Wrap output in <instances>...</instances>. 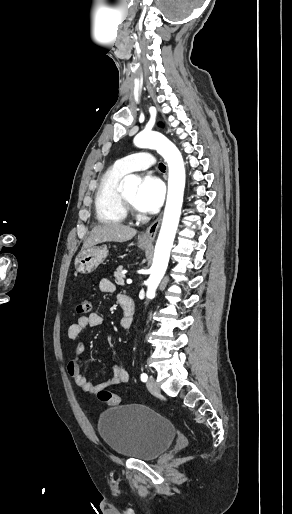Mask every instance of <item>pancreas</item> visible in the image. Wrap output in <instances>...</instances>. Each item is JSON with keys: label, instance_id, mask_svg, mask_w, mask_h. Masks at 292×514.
Masks as SVG:
<instances>
[{"label": "pancreas", "instance_id": "obj_1", "mask_svg": "<svg viewBox=\"0 0 292 514\" xmlns=\"http://www.w3.org/2000/svg\"><path fill=\"white\" fill-rule=\"evenodd\" d=\"M122 272L123 266H119L117 272H114L115 284H118V286H124V274Z\"/></svg>", "mask_w": 292, "mask_h": 514}]
</instances>
